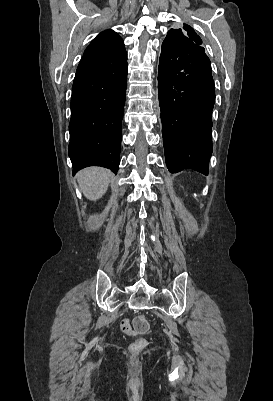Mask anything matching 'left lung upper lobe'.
I'll return each instance as SVG.
<instances>
[{
    "mask_svg": "<svg viewBox=\"0 0 273 401\" xmlns=\"http://www.w3.org/2000/svg\"><path fill=\"white\" fill-rule=\"evenodd\" d=\"M188 41H192L199 46H201L202 44L201 38L194 32V30L190 26L186 24H184L183 29H170L168 31L167 37L164 40V42L170 44L184 43Z\"/></svg>",
    "mask_w": 273,
    "mask_h": 401,
    "instance_id": "left-lung-upper-lobe-1",
    "label": "left lung upper lobe"
}]
</instances>
